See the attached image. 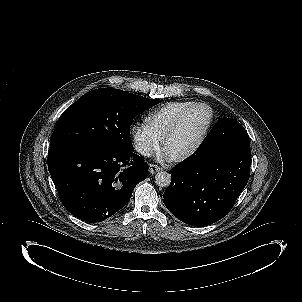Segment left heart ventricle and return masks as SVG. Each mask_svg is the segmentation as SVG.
<instances>
[{"instance_id":"obj_1","label":"left heart ventricle","mask_w":302,"mask_h":302,"mask_svg":"<svg viewBox=\"0 0 302 302\" xmlns=\"http://www.w3.org/2000/svg\"><path fill=\"white\" fill-rule=\"evenodd\" d=\"M205 122L206 113L204 110L197 109L186 115L171 137L170 147L178 152L187 150L200 135Z\"/></svg>"}]
</instances>
